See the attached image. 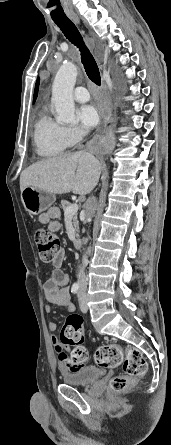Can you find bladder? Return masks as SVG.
I'll list each match as a JSON object with an SVG mask.
<instances>
[{"label":"bladder","instance_id":"1","mask_svg":"<svg viewBox=\"0 0 171 445\" xmlns=\"http://www.w3.org/2000/svg\"><path fill=\"white\" fill-rule=\"evenodd\" d=\"M105 375V370L93 366H84L62 373V379L68 385H91Z\"/></svg>","mask_w":171,"mask_h":445}]
</instances>
